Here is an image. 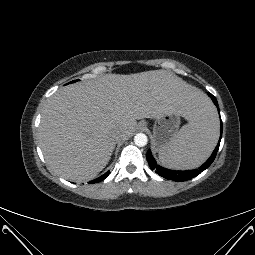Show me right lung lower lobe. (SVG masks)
Listing matches in <instances>:
<instances>
[{
	"instance_id": "98d812e1",
	"label": "right lung lower lobe",
	"mask_w": 255,
	"mask_h": 255,
	"mask_svg": "<svg viewBox=\"0 0 255 255\" xmlns=\"http://www.w3.org/2000/svg\"><path fill=\"white\" fill-rule=\"evenodd\" d=\"M108 175H109V171L106 172L105 174H103L102 176H100L99 178L90 181L89 183L94 184V183L100 182V181L104 180Z\"/></svg>"
}]
</instances>
